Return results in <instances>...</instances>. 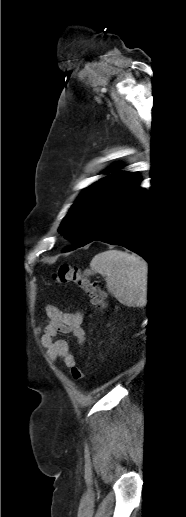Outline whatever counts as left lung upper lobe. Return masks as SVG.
<instances>
[{
	"label": "left lung upper lobe",
	"mask_w": 186,
	"mask_h": 517,
	"mask_svg": "<svg viewBox=\"0 0 186 517\" xmlns=\"http://www.w3.org/2000/svg\"><path fill=\"white\" fill-rule=\"evenodd\" d=\"M119 169L114 167L107 172ZM136 173H114L87 187L64 218L59 233L74 247L86 245L96 226L111 207L137 182ZM68 247L65 251L73 250Z\"/></svg>",
	"instance_id": "left-lung-upper-lobe-1"
}]
</instances>
